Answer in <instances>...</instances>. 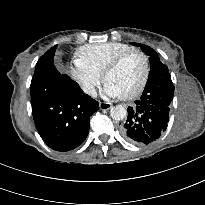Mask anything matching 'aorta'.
<instances>
[{"label":"aorta","instance_id":"1","mask_svg":"<svg viewBox=\"0 0 205 205\" xmlns=\"http://www.w3.org/2000/svg\"><path fill=\"white\" fill-rule=\"evenodd\" d=\"M110 115L114 120L120 121L127 116V110L122 105H116L111 108Z\"/></svg>","mask_w":205,"mask_h":205}]
</instances>
